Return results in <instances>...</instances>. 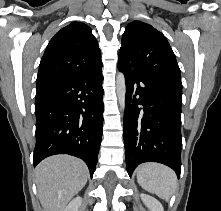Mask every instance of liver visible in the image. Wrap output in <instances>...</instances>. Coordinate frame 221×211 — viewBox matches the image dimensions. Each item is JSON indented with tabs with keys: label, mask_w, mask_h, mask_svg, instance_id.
<instances>
[{
	"label": "liver",
	"mask_w": 221,
	"mask_h": 211,
	"mask_svg": "<svg viewBox=\"0 0 221 211\" xmlns=\"http://www.w3.org/2000/svg\"><path fill=\"white\" fill-rule=\"evenodd\" d=\"M38 196L45 211H64L87 183L86 164L68 155L51 156L35 169Z\"/></svg>",
	"instance_id": "6515ba94"
}]
</instances>
